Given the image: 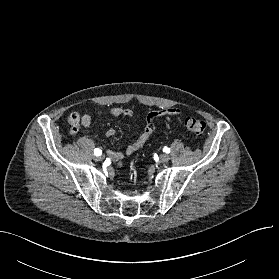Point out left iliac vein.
<instances>
[{
	"label": "left iliac vein",
	"instance_id": "left-iliac-vein-1",
	"mask_svg": "<svg viewBox=\"0 0 279 279\" xmlns=\"http://www.w3.org/2000/svg\"><path fill=\"white\" fill-rule=\"evenodd\" d=\"M169 156L167 155V154H161L160 156H159V160H160V162H162V163H167L168 161H169Z\"/></svg>",
	"mask_w": 279,
	"mask_h": 279
}]
</instances>
